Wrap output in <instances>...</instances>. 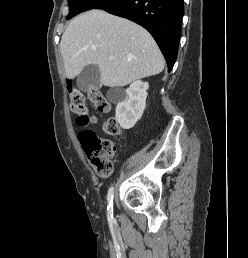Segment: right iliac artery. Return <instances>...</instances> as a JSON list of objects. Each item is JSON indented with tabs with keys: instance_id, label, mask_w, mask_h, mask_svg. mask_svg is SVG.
<instances>
[{
	"instance_id": "1",
	"label": "right iliac artery",
	"mask_w": 248,
	"mask_h": 258,
	"mask_svg": "<svg viewBox=\"0 0 248 258\" xmlns=\"http://www.w3.org/2000/svg\"><path fill=\"white\" fill-rule=\"evenodd\" d=\"M113 194H114V188L110 187L108 190V195H107V200H108V206H107V210H108V219H112L113 218Z\"/></svg>"
}]
</instances>
